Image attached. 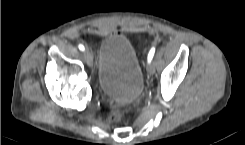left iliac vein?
Here are the masks:
<instances>
[{
    "mask_svg": "<svg viewBox=\"0 0 245 145\" xmlns=\"http://www.w3.org/2000/svg\"><path fill=\"white\" fill-rule=\"evenodd\" d=\"M147 71L150 73V74H154L155 73V66L153 63L151 62H148L147 63Z\"/></svg>",
    "mask_w": 245,
    "mask_h": 145,
    "instance_id": "obj_1",
    "label": "left iliac vein"
}]
</instances>
